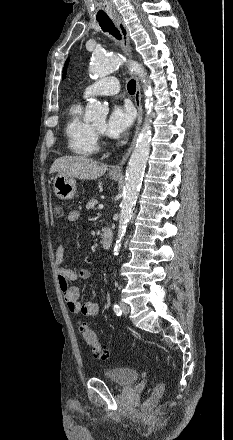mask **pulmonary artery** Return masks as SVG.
<instances>
[{
    "instance_id": "1",
    "label": "pulmonary artery",
    "mask_w": 233,
    "mask_h": 440,
    "mask_svg": "<svg viewBox=\"0 0 233 440\" xmlns=\"http://www.w3.org/2000/svg\"><path fill=\"white\" fill-rule=\"evenodd\" d=\"M119 81L114 76L102 78L89 85L83 92V98L97 95H115L119 92Z\"/></svg>"
}]
</instances>
